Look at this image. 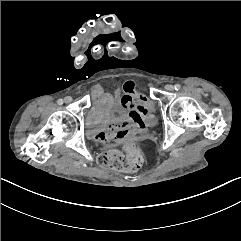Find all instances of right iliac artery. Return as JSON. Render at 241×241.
Masks as SVG:
<instances>
[{
    "label": "right iliac artery",
    "mask_w": 241,
    "mask_h": 241,
    "mask_svg": "<svg viewBox=\"0 0 241 241\" xmlns=\"http://www.w3.org/2000/svg\"><path fill=\"white\" fill-rule=\"evenodd\" d=\"M57 103H58L59 105H62V104H63V100H62V99H59V100H57Z\"/></svg>",
    "instance_id": "obj_1"
}]
</instances>
